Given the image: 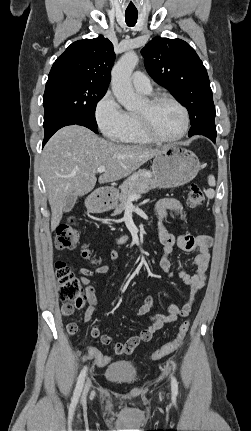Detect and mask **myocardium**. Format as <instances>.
Segmentation results:
<instances>
[{
    "mask_svg": "<svg viewBox=\"0 0 251 431\" xmlns=\"http://www.w3.org/2000/svg\"><path fill=\"white\" fill-rule=\"evenodd\" d=\"M164 101H168V102L175 104L181 110V112L183 114V126H182V129L178 135H176L174 137H170V138L160 136L154 130L148 114H137V119H138V122H139V125H140L142 132L151 141L158 142V143H175V142L183 139L189 130V125H190L189 112L182 102H180L178 99H176L175 97H173L169 94H164V93L155 94V95L151 96L150 98H148L146 102L148 103L150 108H153L156 105H158L159 103L164 102Z\"/></svg>",
    "mask_w": 251,
    "mask_h": 431,
    "instance_id": "1",
    "label": "myocardium"
}]
</instances>
